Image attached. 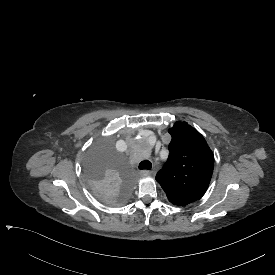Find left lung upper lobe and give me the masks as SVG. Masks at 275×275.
Segmentation results:
<instances>
[{
    "label": "left lung upper lobe",
    "instance_id": "left-lung-upper-lobe-1",
    "mask_svg": "<svg viewBox=\"0 0 275 275\" xmlns=\"http://www.w3.org/2000/svg\"><path fill=\"white\" fill-rule=\"evenodd\" d=\"M169 133L172 136L169 157L156 180L172 204L185 206L206 192L214 156L204 137L187 123L176 122Z\"/></svg>",
    "mask_w": 275,
    "mask_h": 275
}]
</instances>
